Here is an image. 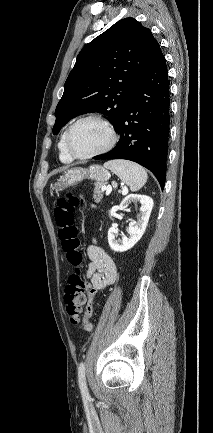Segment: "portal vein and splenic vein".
Here are the masks:
<instances>
[{"label": "portal vein and splenic vein", "instance_id": "obj_1", "mask_svg": "<svg viewBox=\"0 0 213 433\" xmlns=\"http://www.w3.org/2000/svg\"><path fill=\"white\" fill-rule=\"evenodd\" d=\"M103 190H106V194L109 195L112 191V187L110 185L104 186Z\"/></svg>", "mask_w": 213, "mask_h": 433}]
</instances>
